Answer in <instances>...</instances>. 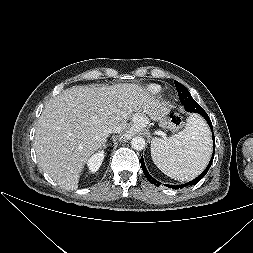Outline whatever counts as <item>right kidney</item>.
Wrapping results in <instances>:
<instances>
[{"label":"right kidney","instance_id":"ca27d5eb","mask_svg":"<svg viewBox=\"0 0 253 253\" xmlns=\"http://www.w3.org/2000/svg\"><path fill=\"white\" fill-rule=\"evenodd\" d=\"M103 159L104 151H99L98 153L92 155L87 162L90 172L95 173L100 168Z\"/></svg>","mask_w":253,"mask_h":253}]
</instances>
